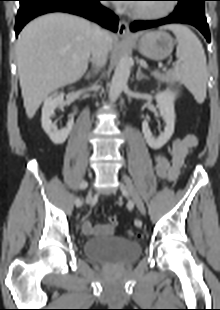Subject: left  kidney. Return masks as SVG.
I'll use <instances>...</instances> for the list:
<instances>
[{
    "label": "left kidney",
    "instance_id": "5707ae66",
    "mask_svg": "<svg viewBox=\"0 0 220 310\" xmlns=\"http://www.w3.org/2000/svg\"><path fill=\"white\" fill-rule=\"evenodd\" d=\"M174 95L168 92H161L156 95L157 107L159 108L160 116L165 122L164 131L155 138L150 131L148 121L142 123V132L147 144L152 149H160L163 147L171 138L174 133L175 127V110H174Z\"/></svg>",
    "mask_w": 220,
    "mask_h": 310
}]
</instances>
